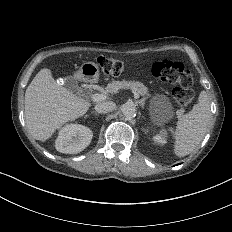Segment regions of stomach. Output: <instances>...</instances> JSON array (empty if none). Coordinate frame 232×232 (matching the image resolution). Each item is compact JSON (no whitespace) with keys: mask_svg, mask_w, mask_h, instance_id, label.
Masks as SVG:
<instances>
[{"mask_svg":"<svg viewBox=\"0 0 232 232\" xmlns=\"http://www.w3.org/2000/svg\"><path fill=\"white\" fill-rule=\"evenodd\" d=\"M80 72L87 81H98L100 78V67L95 62H83L80 67Z\"/></svg>","mask_w":232,"mask_h":232,"instance_id":"stomach-1","label":"stomach"}]
</instances>
